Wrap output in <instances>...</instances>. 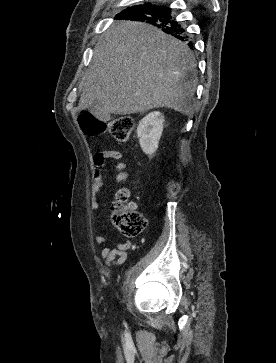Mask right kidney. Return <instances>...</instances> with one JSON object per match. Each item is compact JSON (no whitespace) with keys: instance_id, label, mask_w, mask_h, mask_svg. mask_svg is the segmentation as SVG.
<instances>
[{"instance_id":"ca27d5eb","label":"right kidney","mask_w":276,"mask_h":363,"mask_svg":"<svg viewBox=\"0 0 276 363\" xmlns=\"http://www.w3.org/2000/svg\"><path fill=\"white\" fill-rule=\"evenodd\" d=\"M164 116L155 111L146 115L137 127V137L140 146L146 155H153L158 149L159 140L163 131Z\"/></svg>"}]
</instances>
